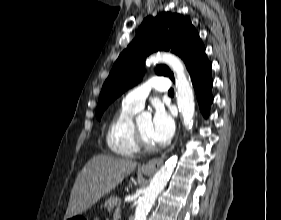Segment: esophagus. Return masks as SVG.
<instances>
[{
	"mask_svg": "<svg viewBox=\"0 0 281 220\" xmlns=\"http://www.w3.org/2000/svg\"><path fill=\"white\" fill-rule=\"evenodd\" d=\"M174 145H172L166 152H164L160 157L153 158L149 160L147 163H145L142 166V171L147 173H154L164 162V160L167 158L169 153L173 150Z\"/></svg>",
	"mask_w": 281,
	"mask_h": 220,
	"instance_id": "1",
	"label": "esophagus"
}]
</instances>
